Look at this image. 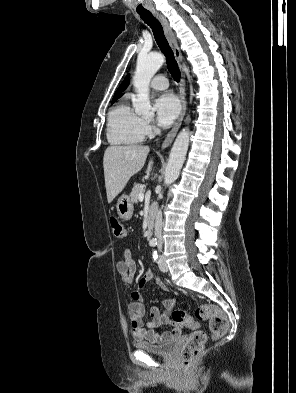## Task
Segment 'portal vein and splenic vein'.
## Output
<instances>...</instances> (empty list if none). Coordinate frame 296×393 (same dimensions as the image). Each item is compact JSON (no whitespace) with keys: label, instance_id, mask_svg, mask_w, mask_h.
<instances>
[{"label":"portal vein and splenic vein","instance_id":"portal-vein-and-splenic-vein-1","mask_svg":"<svg viewBox=\"0 0 296 393\" xmlns=\"http://www.w3.org/2000/svg\"><path fill=\"white\" fill-rule=\"evenodd\" d=\"M138 199H139L140 201H143V200H144V191H143L142 193L139 194Z\"/></svg>","mask_w":296,"mask_h":393}]
</instances>
